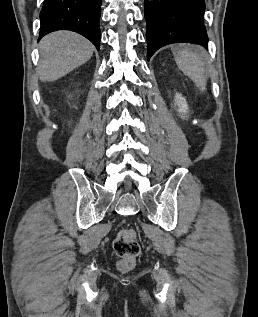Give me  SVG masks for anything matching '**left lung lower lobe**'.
<instances>
[{
  "instance_id": "obj_1",
  "label": "left lung lower lobe",
  "mask_w": 258,
  "mask_h": 317,
  "mask_svg": "<svg viewBox=\"0 0 258 317\" xmlns=\"http://www.w3.org/2000/svg\"><path fill=\"white\" fill-rule=\"evenodd\" d=\"M204 13L205 0H145L147 60L159 48L172 43H193L208 48Z\"/></svg>"
}]
</instances>
